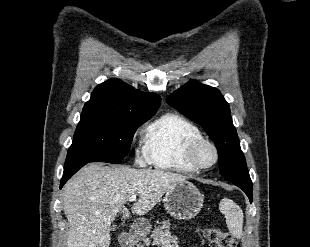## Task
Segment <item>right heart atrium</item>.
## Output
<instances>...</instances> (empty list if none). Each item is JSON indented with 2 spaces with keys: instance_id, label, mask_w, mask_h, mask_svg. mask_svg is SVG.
Masks as SVG:
<instances>
[{
  "instance_id": "obj_1",
  "label": "right heart atrium",
  "mask_w": 310,
  "mask_h": 247,
  "mask_svg": "<svg viewBox=\"0 0 310 247\" xmlns=\"http://www.w3.org/2000/svg\"><path fill=\"white\" fill-rule=\"evenodd\" d=\"M139 161L141 163H145L146 161H148L147 157H139Z\"/></svg>"
}]
</instances>
